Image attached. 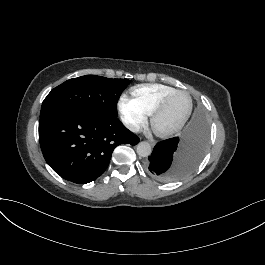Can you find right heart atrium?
<instances>
[{"label":"right heart atrium","instance_id":"right-heart-atrium-1","mask_svg":"<svg viewBox=\"0 0 265 265\" xmlns=\"http://www.w3.org/2000/svg\"><path fill=\"white\" fill-rule=\"evenodd\" d=\"M120 108L127 117L128 126L131 130L138 131L146 125L148 113L137 101L123 96L120 101Z\"/></svg>","mask_w":265,"mask_h":265}]
</instances>
